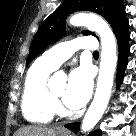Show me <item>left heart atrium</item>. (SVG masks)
<instances>
[{
	"mask_svg": "<svg viewBox=\"0 0 136 136\" xmlns=\"http://www.w3.org/2000/svg\"><path fill=\"white\" fill-rule=\"evenodd\" d=\"M92 88L91 69L86 65H81L71 71L63 101L69 108L79 109L88 102Z\"/></svg>",
	"mask_w": 136,
	"mask_h": 136,
	"instance_id": "39dd6f15",
	"label": "left heart atrium"
}]
</instances>
